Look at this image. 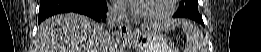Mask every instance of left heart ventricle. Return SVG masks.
Here are the masks:
<instances>
[{
    "label": "left heart ventricle",
    "instance_id": "1",
    "mask_svg": "<svg viewBox=\"0 0 261 52\" xmlns=\"http://www.w3.org/2000/svg\"><path fill=\"white\" fill-rule=\"evenodd\" d=\"M168 0L137 1L138 12L144 15H154L166 9Z\"/></svg>",
    "mask_w": 261,
    "mask_h": 52
}]
</instances>
